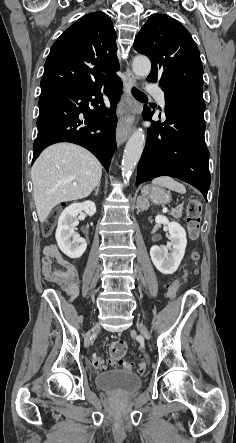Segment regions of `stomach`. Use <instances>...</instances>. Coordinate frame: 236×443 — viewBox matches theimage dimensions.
<instances>
[{"label":"stomach","mask_w":236,"mask_h":443,"mask_svg":"<svg viewBox=\"0 0 236 443\" xmlns=\"http://www.w3.org/2000/svg\"><path fill=\"white\" fill-rule=\"evenodd\" d=\"M144 198L157 205H164L170 202L171 197L163 188L155 185L144 186L141 190Z\"/></svg>","instance_id":"0dacf381"}]
</instances>
